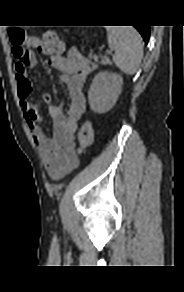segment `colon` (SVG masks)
<instances>
[{
    "label": "colon",
    "instance_id": "obj_1",
    "mask_svg": "<svg viewBox=\"0 0 184 292\" xmlns=\"http://www.w3.org/2000/svg\"><path fill=\"white\" fill-rule=\"evenodd\" d=\"M9 39L13 45V55L17 60H26L28 56L29 38L21 28H11ZM39 50L47 56H53L63 50V42L54 31H45L41 38ZM94 130L89 122H85L78 132V153H84L92 144Z\"/></svg>",
    "mask_w": 184,
    "mask_h": 292
}]
</instances>
